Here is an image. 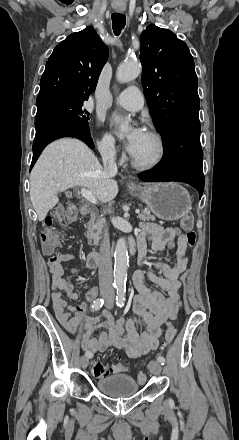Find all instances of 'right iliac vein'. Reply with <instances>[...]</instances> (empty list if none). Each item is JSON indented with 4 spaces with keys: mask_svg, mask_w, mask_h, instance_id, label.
<instances>
[{
    "mask_svg": "<svg viewBox=\"0 0 239 440\" xmlns=\"http://www.w3.org/2000/svg\"><path fill=\"white\" fill-rule=\"evenodd\" d=\"M80 364H81V367H82L83 369H86L87 366H88V364H89V359H88V357H87V356H82V357L80 358Z\"/></svg>",
    "mask_w": 239,
    "mask_h": 440,
    "instance_id": "right-iliac-vein-1",
    "label": "right iliac vein"
}]
</instances>
